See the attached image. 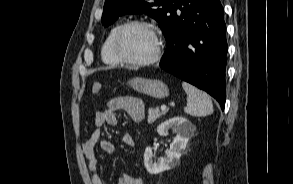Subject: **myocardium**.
Here are the masks:
<instances>
[{
	"instance_id": "1",
	"label": "myocardium",
	"mask_w": 293,
	"mask_h": 184,
	"mask_svg": "<svg viewBox=\"0 0 293 184\" xmlns=\"http://www.w3.org/2000/svg\"><path fill=\"white\" fill-rule=\"evenodd\" d=\"M134 26L147 28L152 33L155 39V51L150 57L146 59H140V60L130 59L124 56L119 49V39L121 35L128 28L134 27ZM111 46H112L113 54L121 63L134 65V66H147V65L154 64L161 59L164 52V42H163L159 29L154 24L144 20H132L122 24L115 32L112 39Z\"/></svg>"
}]
</instances>
